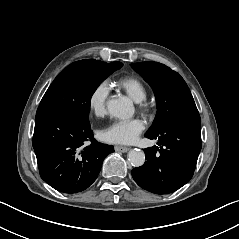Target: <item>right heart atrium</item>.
Masks as SVG:
<instances>
[{
    "mask_svg": "<svg viewBox=\"0 0 239 239\" xmlns=\"http://www.w3.org/2000/svg\"><path fill=\"white\" fill-rule=\"evenodd\" d=\"M109 93L106 82H99L91 89L88 94V108L93 115L99 117L105 114Z\"/></svg>",
    "mask_w": 239,
    "mask_h": 239,
    "instance_id": "right-heart-atrium-1",
    "label": "right heart atrium"
}]
</instances>
